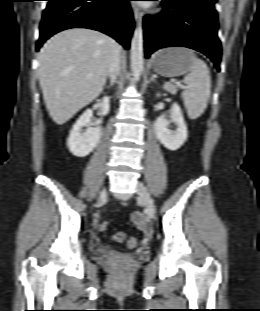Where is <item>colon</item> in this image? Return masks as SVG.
<instances>
[{"instance_id":"colon-1","label":"colon","mask_w":260,"mask_h":311,"mask_svg":"<svg viewBox=\"0 0 260 311\" xmlns=\"http://www.w3.org/2000/svg\"><path fill=\"white\" fill-rule=\"evenodd\" d=\"M108 226V222H103L100 228L102 231H105ZM112 239L115 242H125L129 249H135L138 246V240L135 237L127 236L124 232H116Z\"/></svg>"}]
</instances>
